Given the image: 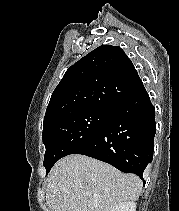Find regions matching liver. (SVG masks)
<instances>
[{
  "mask_svg": "<svg viewBox=\"0 0 179 211\" xmlns=\"http://www.w3.org/2000/svg\"><path fill=\"white\" fill-rule=\"evenodd\" d=\"M47 182L46 201L52 211H110L136 201L142 191L138 176L79 154L60 159Z\"/></svg>",
  "mask_w": 179,
  "mask_h": 211,
  "instance_id": "6515ba94",
  "label": "liver"
}]
</instances>
